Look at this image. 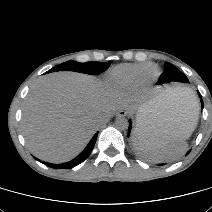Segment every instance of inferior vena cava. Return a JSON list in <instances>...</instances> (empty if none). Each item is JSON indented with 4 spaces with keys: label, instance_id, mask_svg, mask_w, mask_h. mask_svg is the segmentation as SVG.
Returning a JSON list of instances; mask_svg holds the SVG:
<instances>
[{
    "label": "inferior vena cava",
    "instance_id": "602c4592",
    "mask_svg": "<svg viewBox=\"0 0 212 212\" xmlns=\"http://www.w3.org/2000/svg\"><path fill=\"white\" fill-rule=\"evenodd\" d=\"M105 120H103V119H100L99 121H98V125H101V124H103V122H104Z\"/></svg>",
    "mask_w": 212,
    "mask_h": 212
}]
</instances>
